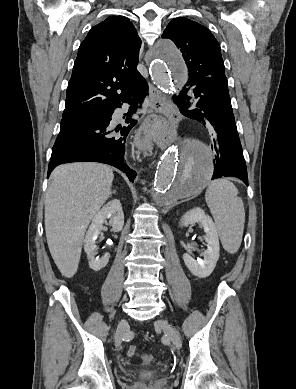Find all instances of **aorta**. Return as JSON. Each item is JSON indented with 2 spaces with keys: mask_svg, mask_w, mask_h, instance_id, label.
<instances>
[{
  "mask_svg": "<svg viewBox=\"0 0 296 389\" xmlns=\"http://www.w3.org/2000/svg\"><path fill=\"white\" fill-rule=\"evenodd\" d=\"M150 73L165 93H172L173 88L184 90L187 87L184 60L171 41L157 42ZM178 148L167 150L158 163L154 194L160 206L194 195L213 174L212 153L198 139H180Z\"/></svg>",
  "mask_w": 296,
  "mask_h": 389,
  "instance_id": "762f6f07",
  "label": "aorta"
}]
</instances>
